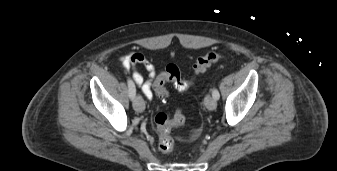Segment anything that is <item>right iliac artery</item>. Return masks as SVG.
<instances>
[{
    "instance_id": "right-iliac-artery-1",
    "label": "right iliac artery",
    "mask_w": 337,
    "mask_h": 171,
    "mask_svg": "<svg viewBox=\"0 0 337 171\" xmlns=\"http://www.w3.org/2000/svg\"><path fill=\"white\" fill-rule=\"evenodd\" d=\"M127 83H128V88H129V97L131 99H134L135 94H136L135 84L131 79H128Z\"/></svg>"
}]
</instances>
